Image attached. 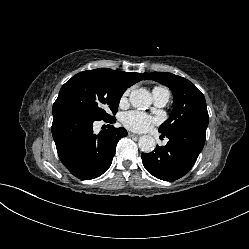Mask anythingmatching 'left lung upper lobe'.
I'll list each match as a JSON object with an SVG mask.
<instances>
[{
	"label": "left lung upper lobe",
	"instance_id": "obj_1",
	"mask_svg": "<svg viewBox=\"0 0 249 249\" xmlns=\"http://www.w3.org/2000/svg\"><path fill=\"white\" fill-rule=\"evenodd\" d=\"M151 79L168 86L174 96L170 117L159 127L163 135L186 128L206 129L209 116L204 95L189 80L165 72H151Z\"/></svg>",
	"mask_w": 249,
	"mask_h": 249
}]
</instances>
